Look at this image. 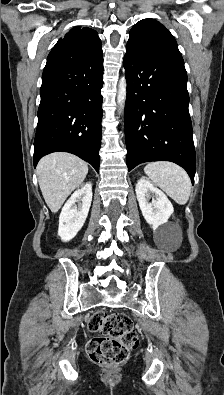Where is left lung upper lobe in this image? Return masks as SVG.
Segmentation results:
<instances>
[{"label": "left lung upper lobe", "mask_w": 224, "mask_h": 395, "mask_svg": "<svg viewBox=\"0 0 224 395\" xmlns=\"http://www.w3.org/2000/svg\"><path fill=\"white\" fill-rule=\"evenodd\" d=\"M126 48L185 68L175 38L154 19H143L133 26Z\"/></svg>", "instance_id": "5c2ea615"}]
</instances>
